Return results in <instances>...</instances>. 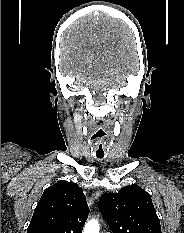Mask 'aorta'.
<instances>
[{
  "label": "aorta",
  "instance_id": "1",
  "mask_svg": "<svg viewBox=\"0 0 184 233\" xmlns=\"http://www.w3.org/2000/svg\"><path fill=\"white\" fill-rule=\"evenodd\" d=\"M100 227L97 220L88 221L84 227L83 233H99Z\"/></svg>",
  "mask_w": 184,
  "mask_h": 233
}]
</instances>
